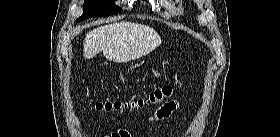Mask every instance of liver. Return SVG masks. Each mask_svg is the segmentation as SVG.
<instances>
[{
    "label": "liver",
    "mask_w": 280,
    "mask_h": 137,
    "mask_svg": "<svg viewBox=\"0 0 280 137\" xmlns=\"http://www.w3.org/2000/svg\"><path fill=\"white\" fill-rule=\"evenodd\" d=\"M161 44V37L151 27L119 22L89 31L84 40L83 55L91 59L103 51L109 61L124 63L141 58Z\"/></svg>",
    "instance_id": "1"
}]
</instances>
